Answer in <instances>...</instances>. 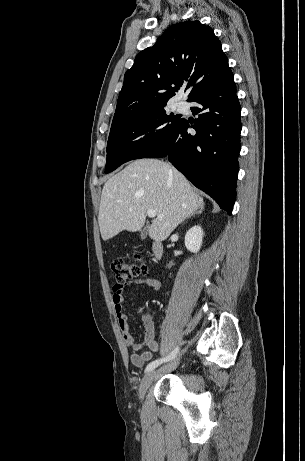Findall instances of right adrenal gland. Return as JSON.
I'll use <instances>...</instances> for the list:
<instances>
[{"mask_svg":"<svg viewBox=\"0 0 305 461\" xmlns=\"http://www.w3.org/2000/svg\"><path fill=\"white\" fill-rule=\"evenodd\" d=\"M202 211H203V209H199V210H197L196 212L190 214L189 216H187V217L183 220L182 223H184L186 220L190 219L191 217H194V216H196V215L201 214ZM182 223H181V224H182Z\"/></svg>","mask_w":305,"mask_h":461,"instance_id":"right-adrenal-gland-1","label":"right adrenal gland"}]
</instances>
